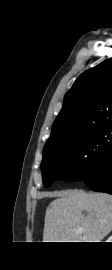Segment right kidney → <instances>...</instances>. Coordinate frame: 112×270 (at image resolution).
I'll return each mask as SVG.
<instances>
[{
    "mask_svg": "<svg viewBox=\"0 0 112 270\" xmlns=\"http://www.w3.org/2000/svg\"><path fill=\"white\" fill-rule=\"evenodd\" d=\"M106 242H112V235L108 238Z\"/></svg>",
    "mask_w": 112,
    "mask_h": 270,
    "instance_id": "right-kidney-1",
    "label": "right kidney"
}]
</instances>
